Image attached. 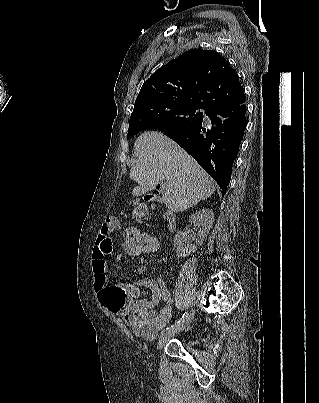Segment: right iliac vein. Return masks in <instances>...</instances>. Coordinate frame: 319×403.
<instances>
[{
  "label": "right iliac vein",
  "instance_id": "63e3f726",
  "mask_svg": "<svg viewBox=\"0 0 319 403\" xmlns=\"http://www.w3.org/2000/svg\"><path fill=\"white\" fill-rule=\"evenodd\" d=\"M192 313H190L189 315H187L184 319L183 322H181L178 326H176L173 330L168 331L164 334H161L158 343H157V348L158 349H162L164 347V345L169 341V339L174 336L175 334H178L179 332H181L183 329L186 328V326L190 323L191 319H192Z\"/></svg>",
  "mask_w": 319,
  "mask_h": 403
}]
</instances>
